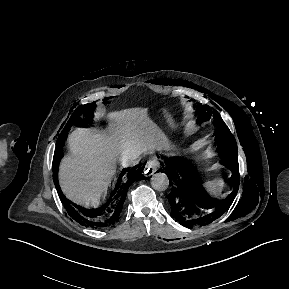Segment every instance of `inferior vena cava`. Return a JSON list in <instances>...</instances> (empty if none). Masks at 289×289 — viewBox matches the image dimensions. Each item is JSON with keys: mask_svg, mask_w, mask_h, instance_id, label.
Listing matches in <instances>:
<instances>
[{"mask_svg": "<svg viewBox=\"0 0 289 289\" xmlns=\"http://www.w3.org/2000/svg\"><path fill=\"white\" fill-rule=\"evenodd\" d=\"M129 163H130L131 165H135V164H136V160H135L134 158H131V159L129 160Z\"/></svg>", "mask_w": 289, "mask_h": 289, "instance_id": "1", "label": "inferior vena cava"}]
</instances>
